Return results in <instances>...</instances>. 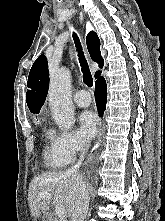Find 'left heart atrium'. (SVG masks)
<instances>
[{"mask_svg": "<svg viewBox=\"0 0 165 221\" xmlns=\"http://www.w3.org/2000/svg\"><path fill=\"white\" fill-rule=\"evenodd\" d=\"M79 126L83 135L93 138L98 130V119L92 111H84L79 115Z\"/></svg>", "mask_w": 165, "mask_h": 221, "instance_id": "39dd6f15", "label": "left heart atrium"}]
</instances>
